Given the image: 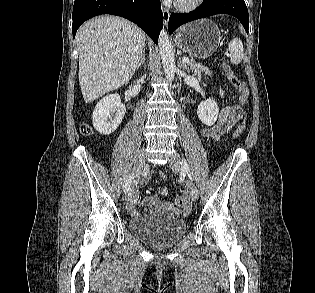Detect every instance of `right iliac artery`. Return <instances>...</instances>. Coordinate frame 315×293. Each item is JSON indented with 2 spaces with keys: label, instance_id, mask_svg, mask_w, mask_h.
Returning a JSON list of instances; mask_svg holds the SVG:
<instances>
[{
  "label": "right iliac artery",
  "instance_id": "82829eb1",
  "mask_svg": "<svg viewBox=\"0 0 315 293\" xmlns=\"http://www.w3.org/2000/svg\"><path fill=\"white\" fill-rule=\"evenodd\" d=\"M135 177V173L132 172L126 179V182H125V185H124V192L127 193L130 189V185H131V182L132 180L134 179Z\"/></svg>",
  "mask_w": 315,
  "mask_h": 293
}]
</instances>
